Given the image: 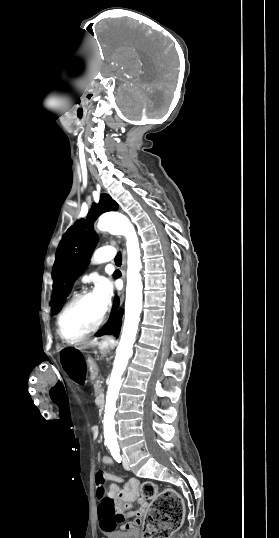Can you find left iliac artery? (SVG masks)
Segmentation results:
<instances>
[{
    "mask_svg": "<svg viewBox=\"0 0 279 538\" xmlns=\"http://www.w3.org/2000/svg\"><path fill=\"white\" fill-rule=\"evenodd\" d=\"M111 455L113 456V458L118 462L120 463L122 458L120 456V453H119V449H112L111 450Z\"/></svg>",
    "mask_w": 279,
    "mask_h": 538,
    "instance_id": "left-iliac-artery-1",
    "label": "left iliac artery"
}]
</instances>
